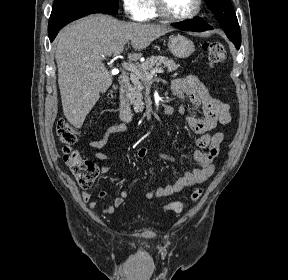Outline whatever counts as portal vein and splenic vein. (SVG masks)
Returning a JSON list of instances; mask_svg holds the SVG:
<instances>
[{
	"mask_svg": "<svg viewBox=\"0 0 288 280\" xmlns=\"http://www.w3.org/2000/svg\"><path fill=\"white\" fill-rule=\"evenodd\" d=\"M122 50H123V48L120 49L119 51L115 52L114 56L119 55ZM102 58L104 59L105 57L103 56ZM122 66H123L124 69H126L128 71H131L133 73H137L138 72L137 66L134 65L133 63H123ZM156 73H164V70L162 68H155L150 73H146L145 78L149 81V80H151L153 78V76Z\"/></svg>",
	"mask_w": 288,
	"mask_h": 280,
	"instance_id": "obj_1",
	"label": "portal vein and splenic vein"
}]
</instances>
